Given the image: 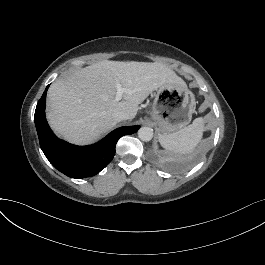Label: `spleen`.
Here are the masks:
<instances>
[{"label": "spleen", "instance_id": "obj_1", "mask_svg": "<svg viewBox=\"0 0 265 265\" xmlns=\"http://www.w3.org/2000/svg\"><path fill=\"white\" fill-rule=\"evenodd\" d=\"M203 119L196 118L193 123L177 132L159 134L158 140L163 148L175 154H189L201 141Z\"/></svg>", "mask_w": 265, "mask_h": 265}]
</instances>
